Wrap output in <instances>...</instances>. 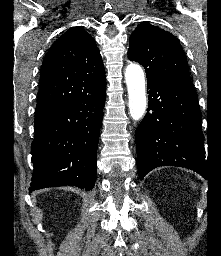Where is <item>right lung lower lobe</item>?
Masks as SVG:
<instances>
[{
  "instance_id": "98d812e1",
  "label": "right lung lower lobe",
  "mask_w": 221,
  "mask_h": 256,
  "mask_svg": "<svg viewBox=\"0 0 221 256\" xmlns=\"http://www.w3.org/2000/svg\"><path fill=\"white\" fill-rule=\"evenodd\" d=\"M105 98L106 87L35 115L30 192L66 185L87 191L94 187Z\"/></svg>"
}]
</instances>
